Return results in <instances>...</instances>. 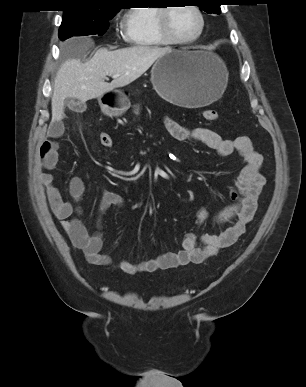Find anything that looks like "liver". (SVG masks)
I'll list each match as a JSON object with an SVG mask.
<instances>
[{
  "mask_svg": "<svg viewBox=\"0 0 306 387\" xmlns=\"http://www.w3.org/2000/svg\"><path fill=\"white\" fill-rule=\"evenodd\" d=\"M170 48L134 46L115 51L98 49L83 63L68 59L59 68L53 86L52 121L63 118L64 100L76 98L81 102L99 98L104 93L129 85L145 73ZM106 76L113 80L105 82Z\"/></svg>",
  "mask_w": 306,
  "mask_h": 387,
  "instance_id": "6515ba94",
  "label": "liver"
}]
</instances>
